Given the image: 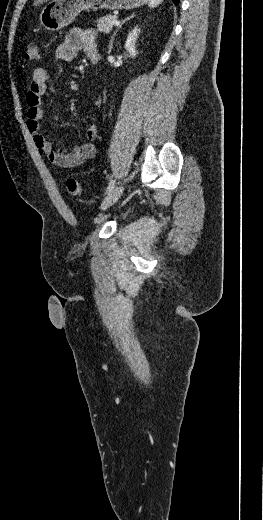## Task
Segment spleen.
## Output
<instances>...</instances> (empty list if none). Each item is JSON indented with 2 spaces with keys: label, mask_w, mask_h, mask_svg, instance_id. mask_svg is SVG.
<instances>
[{
  "label": "spleen",
  "mask_w": 263,
  "mask_h": 520,
  "mask_svg": "<svg viewBox=\"0 0 263 520\" xmlns=\"http://www.w3.org/2000/svg\"><path fill=\"white\" fill-rule=\"evenodd\" d=\"M163 0H148V5L150 8H155L157 7L159 4L162 3Z\"/></svg>",
  "instance_id": "spleen-1"
}]
</instances>
